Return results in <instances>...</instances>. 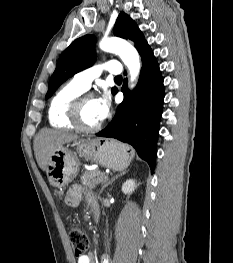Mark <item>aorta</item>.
I'll list each match as a JSON object with an SVG mask.
<instances>
[{"mask_svg": "<svg viewBox=\"0 0 233 263\" xmlns=\"http://www.w3.org/2000/svg\"><path fill=\"white\" fill-rule=\"evenodd\" d=\"M100 48L106 52L116 53L128 67L131 81H135L140 72V58L137 50L127 41L117 38H104L100 42Z\"/></svg>", "mask_w": 233, "mask_h": 263, "instance_id": "762f6f07", "label": "aorta"}]
</instances>
